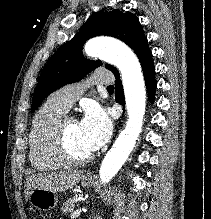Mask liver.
Listing matches in <instances>:
<instances>
[{"label": "liver", "instance_id": "1", "mask_svg": "<svg viewBox=\"0 0 211 219\" xmlns=\"http://www.w3.org/2000/svg\"><path fill=\"white\" fill-rule=\"evenodd\" d=\"M82 170L38 173L26 178V199L34 189H44L52 192H63L73 188L82 178Z\"/></svg>", "mask_w": 211, "mask_h": 219}]
</instances>
